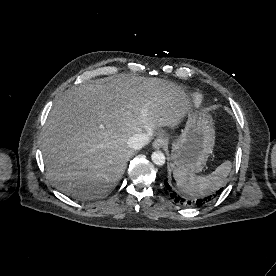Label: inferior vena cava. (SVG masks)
<instances>
[{
  "mask_svg": "<svg viewBox=\"0 0 276 276\" xmlns=\"http://www.w3.org/2000/svg\"><path fill=\"white\" fill-rule=\"evenodd\" d=\"M149 141V135L146 133L134 134L128 139V145L134 150H139Z\"/></svg>",
  "mask_w": 276,
  "mask_h": 276,
  "instance_id": "inferior-vena-cava-1",
  "label": "inferior vena cava"
}]
</instances>
